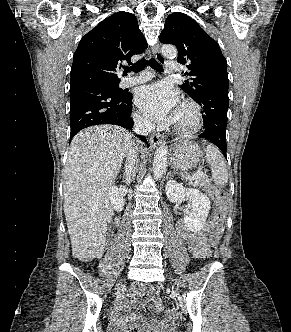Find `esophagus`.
<instances>
[{
    "mask_svg": "<svg viewBox=\"0 0 291 332\" xmlns=\"http://www.w3.org/2000/svg\"><path fill=\"white\" fill-rule=\"evenodd\" d=\"M154 56L155 59L159 62V63H165V58L163 57V55L160 52V47L157 44L154 47ZM164 137L161 136L160 134H152L150 137V144L152 147L157 146L159 143H161L163 141Z\"/></svg>",
    "mask_w": 291,
    "mask_h": 332,
    "instance_id": "34e87169",
    "label": "esophagus"
}]
</instances>
